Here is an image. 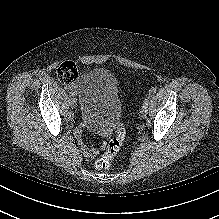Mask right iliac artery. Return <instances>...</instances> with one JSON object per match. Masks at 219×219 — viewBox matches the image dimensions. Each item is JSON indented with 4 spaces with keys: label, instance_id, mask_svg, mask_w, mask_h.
Wrapping results in <instances>:
<instances>
[{
    "label": "right iliac artery",
    "instance_id": "right-iliac-artery-1",
    "mask_svg": "<svg viewBox=\"0 0 219 219\" xmlns=\"http://www.w3.org/2000/svg\"><path fill=\"white\" fill-rule=\"evenodd\" d=\"M69 94H70V97H71V96H73V93H72L71 91H70V93H69Z\"/></svg>",
    "mask_w": 219,
    "mask_h": 219
}]
</instances>
